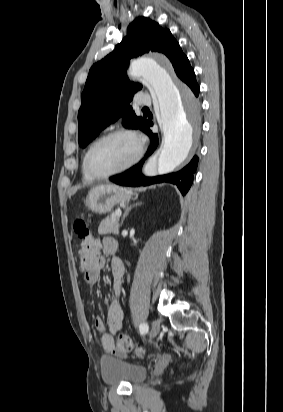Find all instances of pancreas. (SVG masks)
<instances>
[{"instance_id": "1", "label": "pancreas", "mask_w": 283, "mask_h": 412, "mask_svg": "<svg viewBox=\"0 0 283 412\" xmlns=\"http://www.w3.org/2000/svg\"><path fill=\"white\" fill-rule=\"evenodd\" d=\"M119 217L116 215V213H112L109 217L106 219L102 220L99 228H98V233L100 235L104 234H118L119 233Z\"/></svg>"}]
</instances>
